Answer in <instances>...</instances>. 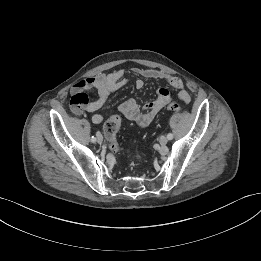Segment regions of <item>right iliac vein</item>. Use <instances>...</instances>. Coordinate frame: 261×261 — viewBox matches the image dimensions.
Listing matches in <instances>:
<instances>
[{
  "instance_id": "1",
  "label": "right iliac vein",
  "mask_w": 261,
  "mask_h": 261,
  "mask_svg": "<svg viewBox=\"0 0 261 261\" xmlns=\"http://www.w3.org/2000/svg\"><path fill=\"white\" fill-rule=\"evenodd\" d=\"M96 141L100 144L103 142V136L100 133L97 134Z\"/></svg>"
}]
</instances>
